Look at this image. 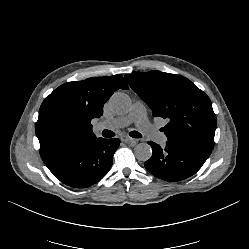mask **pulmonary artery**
I'll list each match as a JSON object with an SVG mask.
<instances>
[{"mask_svg": "<svg viewBox=\"0 0 249 249\" xmlns=\"http://www.w3.org/2000/svg\"><path fill=\"white\" fill-rule=\"evenodd\" d=\"M132 123H134L141 131L154 134L156 140L160 144L164 145L167 141L165 134L158 132L157 128L148 120L146 107L141 101H136L128 114L98 123L94 127V131L101 132L105 129L116 130L127 127Z\"/></svg>", "mask_w": 249, "mask_h": 249, "instance_id": "e3ab8cb5", "label": "pulmonary artery"}]
</instances>
